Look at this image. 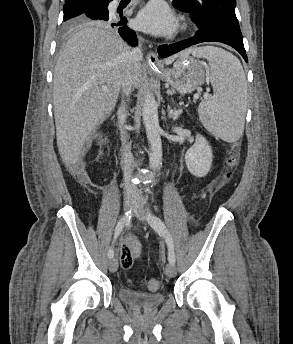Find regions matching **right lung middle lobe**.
Returning <instances> with one entry per match:
<instances>
[{"label": "right lung middle lobe", "instance_id": "obj_1", "mask_svg": "<svg viewBox=\"0 0 293 344\" xmlns=\"http://www.w3.org/2000/svg\"><path fill=\"white\" fill-rule=\"evenodd\" d=\"M99 0H88L74 4L64 5V29L69 30L74 26L90 25L91 21L83 16L92 5Z\"/></svg>", "mask_w": 293, "mask_h": 344}]
</instances>
